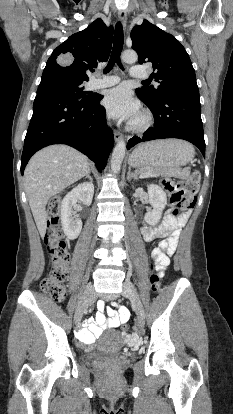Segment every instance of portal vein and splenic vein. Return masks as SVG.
<instances>
[{"label": "portal vein and splenic vein", "instance_id": "1", "mask_svg": "<svg viewBox=\"0 0 233 414\" xmlns=\"http://www.w3.org/2000/svg\"><path fill=\"white\" fill-rule=\"evenodd\" d=\"M140 177H141V178H145V175H141Z\"/></svg>", "mask_w": 233, "mask_h": 414}]
</instances>
